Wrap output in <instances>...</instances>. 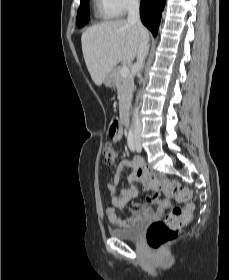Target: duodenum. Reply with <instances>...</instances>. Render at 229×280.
<instances>
[{"label": "duodenum", "mask_w": 229, "mask_h": 280, "mask_svg": "<svg viewBox=\"0 0 229 280\" xmlns=\"http://www.w3.org/2000/svg\"><path fill=\"white\" fill-rule=\"evenodd\" d=\"M120 123H121V126L123 128L127 127L128 126V123H129V117H128V111L125 109L122 111L121 113V116H120Z\"/></svg>", "instance_id": "obj_1"}]
</instances>
